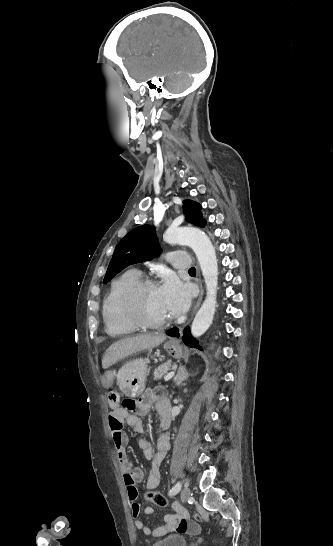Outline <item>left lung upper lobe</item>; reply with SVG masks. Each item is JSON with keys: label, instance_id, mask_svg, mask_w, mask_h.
<instances>
[{"label": "left lung upper lobe", "instance_id": "left-lung-upper-lobe-1", "mask_svg": "<svg viewBox=\"0 0 333 546\" xmlns=\"http://www.w3.org/2000/svg\"><path fill=\"white\" fill-rule=\"evenodd\" d=\"M183 204L186 221L204 227L206 221L201 214V206L191 200L184 201ZM160 253L161 249L154 227L143 225L133 229L116 246L103 283L110 281L129 265L152 260Z\"/></svg>", "mask_w": 333, "mask_h": 546}]
</instances>
